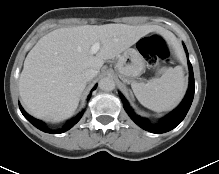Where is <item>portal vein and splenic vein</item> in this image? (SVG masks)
<instances>
[{
	"label": "portal vein and splenic vein",
	"mask_w": 219,
	"mask_h": 174,
	"mask_svg": "<svg viewBox=\"0 0 219 174\" xmlns=\"http://www.w3.org/2000/svg\"><path fill=\"white\" fill-rule=\"evenodd\" d=\"M100 49V44L98 42L94 43L91 47V53L96 54Z\"/></svg>",
	"instance_id": "18ae733b"
}]
</instances>
